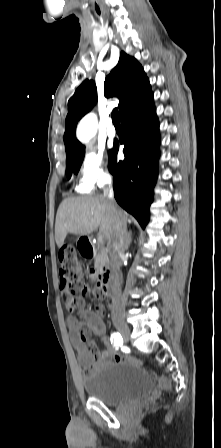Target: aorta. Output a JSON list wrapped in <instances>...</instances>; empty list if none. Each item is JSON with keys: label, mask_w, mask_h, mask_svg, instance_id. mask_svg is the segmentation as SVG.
<instances>
[{"label": "aorta", "mask_w": 221, "mask_h": 448, "mask_svg": "<svg viewBox=\"0 0 221 448\" xmlns=\"http://www.w3.org/2000/svg\"><path fill=\"white\" fill-rule=\"evenodd\" d=\"M97 119L94 114L85 116L77 127V138L81 142H88L96 133Z\"/></svg>", "instance_id": "1"}]
</instances>
